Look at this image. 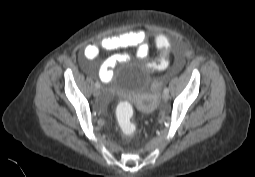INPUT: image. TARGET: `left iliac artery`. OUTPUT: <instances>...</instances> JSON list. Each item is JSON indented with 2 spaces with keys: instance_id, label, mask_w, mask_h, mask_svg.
Wrapping results in <instances>:
<instances>
[{
  "instance_id": "obj_1",
  "label": "left iliac artery",
  "mask_w": 255,
  "mask_h": 177,
  "mask_svg": "<svg viewBox=\"0 0 255 177\" xmlns=\"http://www.w3.org/2000/svg\"><path fill=\"white\" fill-rule=\"evenodd\" d=\"M164 93H169V88H165Z\"/></svg>"
}]
</instances>
